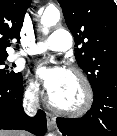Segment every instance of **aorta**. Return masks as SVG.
<instances>
[{"label":"aorta","instance_id":"1","mask_svg":"<svg viewBox=\"0 0 117 136\" xmlns=\"http://www.w3.org/2000/svg\"><path fill=\"white\" fill-rule=\"evenodd\" d=\"M60 20V12L57 8H46L42 17H41V24L43 26V33L47 34L48 29L57 24ZM47 136H54L53 134H48Z\"/></svg>","mask_w":117,"mask_h":136}]
</instances>
